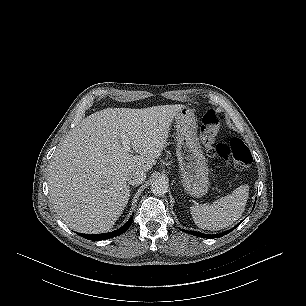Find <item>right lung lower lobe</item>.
<instances>
[{"instance_id":"1","label":"right lung lower lobe","mask_w":306,"mask_h":306,"mask_svg":"<svg viewBox=\"0 0 306 306\" xmlns=\"http://www.w3.org/2000/svg\"><path fill=\"white\" fill-rule=\"evenodd\" d=\"M132 220H133V218H130L123 227H121L120 229L115 230L113 232H110V233L97 234V235H87V234L78 233V235H80L81 237H84L86 239H89V240H104V239H109V238L121 235L124 232H126L127 229L130 227V225L132 223Z\"/></svg>"}]
</instances>
